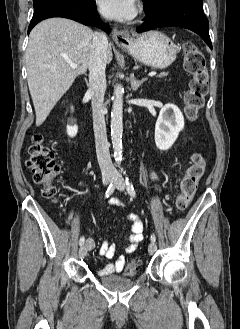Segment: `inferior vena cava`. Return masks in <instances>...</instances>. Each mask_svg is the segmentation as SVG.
<instances>
[{
  "label": "inferior vena cava",
  "instance_id": "602c4592",
  "mask_svg": "<svg viewBox=\"0 0 240 329\" xmlns=\"http://www.w3.org/2000/svg\"><path fill=\"white\" fill-rule=\"evenodd\" d=\"M108 40L103 32L93 34L89 53V89L91 95L93 128L95 134V144L98 163L102 175H112L116 170L112 164L109 153V143L106 134L105 108L103 105L106 90V58Z\"/></svg>",
  "mask_w": 240,
  "mask_h": 329
}]
</instances>
